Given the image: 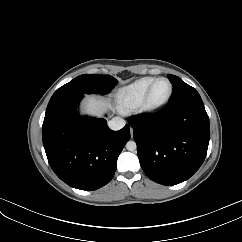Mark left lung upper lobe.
I'll return each instance as SVG.
<instances>
[{
	"label": "left lung upper lobe",
	"instance_id": "5c2ea615",
	"mask_svg": "<svg viewBox=\"0 0 242 242\" xmlns=\"http://www.w3.org/2000/svg\"><path fill=\"white\" fill-rule=\"evenodd\" d=\"M168 78L173 86V93L169 103L177 102L186 98L200 96L196 89L183 82L179 77L168 74Z\"/></svg>",
	"mask_w": 242,
	"mask_h": 242
}]
</instances>
